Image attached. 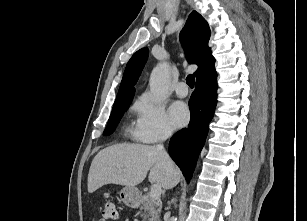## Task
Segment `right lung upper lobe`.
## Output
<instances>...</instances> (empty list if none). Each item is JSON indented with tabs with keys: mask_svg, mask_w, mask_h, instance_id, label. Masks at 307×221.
Wrapping results in <instances>:
<instances>
[{
	"mask_svg": "<svg viewBox=\"0 0 307 221\" xmlns=\"http://www.w3.org/2000/svg\"><path fill=\"white\" fill-rule=\"evenodd\" d=\"M209 38L210 28L208 23L198 12L193 11L180 33V40L185 49L188 62L199 66L194 73L198 83L216 80L215 60L208 47ZM147 57V48L140 49L131 57L124 71L115 103L133 98L135 93L134 85L139 78Z\"/></svg>",
	"mask_w": 307,
	"mask_h": 221,
	"instance_id": "1",
	"label": "right lung upper lobe"
}]
</instances>
